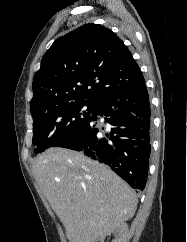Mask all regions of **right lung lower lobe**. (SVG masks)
Returning <instances> with one entry per match:
<instances>
[{
    "label": "right lung lower lobe",
    "instance_id": "right-lung-lower-lobe-1",
    "mask_svg": "<svg viewBox=\"0 0 187 242\" xmlns=\"http://www.w3.org/2000/svg\"><path fill=\"white\" fill-rule=\"evenodd\" d=\"M96 114L105 116L109 126L98 124ZM150 129V103L144 82L100 101L84 123L52 147L82 152L108 165L134 189L143 190L151 152Z\"/></svg>",
    "mask_w": 187,
    "mask_h": 242
}]
</instances>
